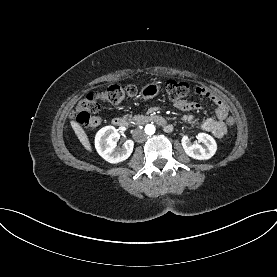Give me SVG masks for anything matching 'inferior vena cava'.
Masks as SVG:
<instances>
[{
	"mask_svg": "<svg viewBox=\"0 0 277 277\" xmlns=\"http://www.w3.org/2000/svg\"><path fill=\"white\" fill-rule=\"evenodd\" d=\"M133 136H134V139L139 143L144 142L147 138L146 133L141 129H135Z\"/></svg>",
	"mask_w": 277,
	"mask_h": 277,
	"instance_id": "obj_1",
	"label": "inferior vena cava"
}]
</instances>
